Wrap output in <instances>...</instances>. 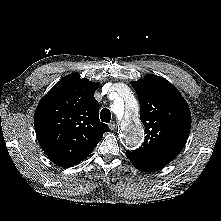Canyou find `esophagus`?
I'll return each mask as SVG.
<instances>
[{
    "label": "esophagus",
    "instance_id": "esophagus-1",
    "mask_svg": "<svg viewBox=\"0 0 221 221\" xmlns=\"http://www.w3.org/2000/svg\"><path fill=\"white\" fill-rule=\"evenodd\" d=\"M115 127H116V124H115L114 121H112V122L109 123V128H110V130H114Z\"/></svg>",
    "mask_w": 221,
    "mask_h": 221
}]
</instances>
